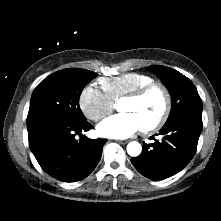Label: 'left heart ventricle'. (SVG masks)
<instances>
[{"label": "left heart ventricle", "instance_id": "b2bd125f", "mask_svg": "<svg viewBox=\"0 0 221 221\" xmlns=\"http://www.w3.org/2000/svg\"><path fill=\"white\" fill-rule=\"evenodd\" d=\"M162 109L163 97L158 91L150 93L141 100H122L119 104V110L122 113L135 115L142 127L154 122L161 115Z\"/></svg>", "mask_w": 221, "mask_h": 221}]
</instances>
